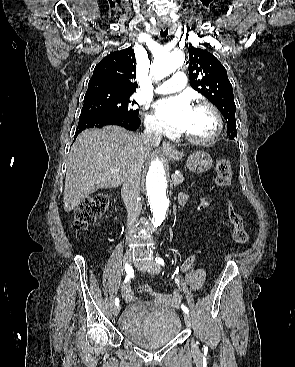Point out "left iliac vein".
<instances>
[{
  "mask_svg": "<svg viewBox=\"0 0 295 367\" xmlns=\"http://www.w3.org/2000/svg\"><path fill=\"white\" fill-rule=\"evenodd\" d=\"M147 271L151 274H158L160 272V266L156 262H151L147 268ZM184 321L188 328L193 327V320L189 313H184ZM192 349L194 352H198V346L194 339H192Z\"/></svg>",
  "mask_w": 295,
  "mask_h": 367,
  "instance_id": "left-iliac-vein-1",
  "label": "left iliac vein"
}]
</instances>
